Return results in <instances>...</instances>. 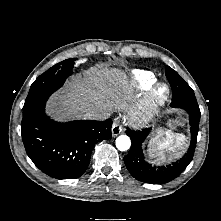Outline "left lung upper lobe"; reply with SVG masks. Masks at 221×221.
Here are the masks:
<instances>
[{"mask_svg":"<svg viewBox=\"0 0 221 221\" xmlns=\"http://www.w3.org/2000/svg\"><path fill=\"white\" fill-rule=\"evenodd\" d=\"M165 73H166V77L169 80L170 84H172L173 82L178 81V80H183L179 76V74L176 71H174L172 68H170L169 66L165 67Z\"/></svg>","mask_w":221,"mask_h":221,"instance_id":"obj_1","label":"left lung upper lobe"}]
</instances>
